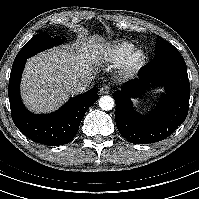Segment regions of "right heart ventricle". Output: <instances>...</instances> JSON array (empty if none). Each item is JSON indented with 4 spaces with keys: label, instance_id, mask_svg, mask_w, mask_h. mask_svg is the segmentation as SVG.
<instances>
[{
    "label": "right heart ventricle",
    "instance_id": "e07e8e85",
    "mask_svg": "<svg viewBox=\"0 0 199 199\" xmlns=\"http://www.w3.org/2000/svg\"><path fill=\"white\" fill-rule=\"evenodd\" d=\"M133 47H134L133 43L129 41L126 40L116 41L106 45L103 49H101L100 58L104 62L119 63L127 54V52L131 50Z\"/></svg>",
    "mask_w": 199,
    "mask_h": 199
}]
</instances>
